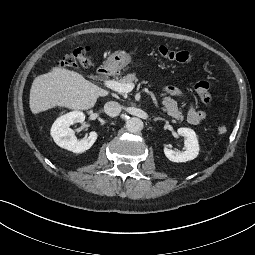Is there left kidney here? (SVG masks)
Listing matches in <instances>:
<instances>
[{"mask_svg": "<svg viewBox=\"0 0 255 255\" xmlns=\"http://www.w3.org/2000/svg\"><path fill=\"white\" fill-rule=\"evenodd\" d=\"M177 132L180 136L185 138V150L174 151L165 145V156L172 162H186L195 159L199 154V144L196 133L190 128H179Z\"/></svg>", "mask_w": 255, "mask_h": 255, "instance_id": "left-kidney-1", "label": "left kidney"}]
</instances>
